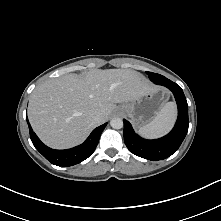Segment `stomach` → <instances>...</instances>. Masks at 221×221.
I'll return each instance as SVG.
<instances>
[{"instance_id":"obj_1","label":"stomach","mask_w":221,"mask_h":221,"mask_svg":"<svg viewBox=\"0 0 221 221\" xmlns=\"http://www.w3.org/2000/svg\"><path fill=\"white\" fill-rule=\"evenodd\" d=\"M168 92L163 88L143 94L130 102H125L117 111L130 118L133 125L140 128L151 122L168 100Z\"/></svg>"}]
</instances>
